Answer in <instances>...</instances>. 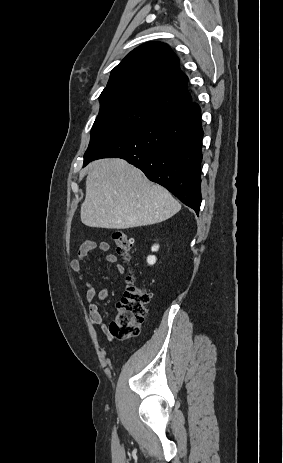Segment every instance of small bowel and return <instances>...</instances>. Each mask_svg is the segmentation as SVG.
I'll list each match as a JSON object with an SVG mask.
<instances>
[{
  "mask_svg": "<svg viewBox=\"0 0 283 463\" xmlns=\"http://www.w3.org/2000/svg\"><path fill=\"white\" fill-rule=\"evenodd\" d=\"M99 249L103 252H109L110 250V244L107 241H101V242H96L93 240H88L85 241L78 249L77 256L71 261V267L72 269L80 274V279H83L81 275V270H82V265L85 259L87 258L88 254L93 251ZM106 261L109 264H112L115 266V269L117 273L123 274L124 272V267L122 264L118 263L117 256L114 253H108L106 256ZM85 286H86V300L89 304V318L90 322L92 325H100L102 327V330L108 340H112L113 336L110 333V330L108 329L107 324L105 323V320L99 310L98 303L96 301V298L98 300L103 301L107 298L108 296V288L103 287L101 288L98 292L95 288V286L89 282L85 281Z\"/></svg>",
  "mask_w": 283,
  "mask_h": 463,
  "instance_id": "small-bowel-1",
  "label": "small bowel"
}]
</instances>
